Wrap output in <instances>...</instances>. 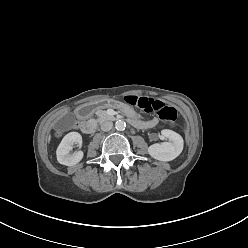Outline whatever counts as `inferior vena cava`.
I'll return each mask as SVG.
<instances>
[{"label": "inferior vena cava", "instance_id": "602c4592", "mask_svg": "<svg viewBox=\"0 0 248 248\" xmlns=\"http://www.w3.org/2000/svg\"><path fill=\"white\" fill-rule=\"evenodd\" d=\"M113 127V123L111 121H106L101 124V130L102 131H109Z\"/></svg>", "mask_w": 248, "mask_h": 248}]
</instances>
